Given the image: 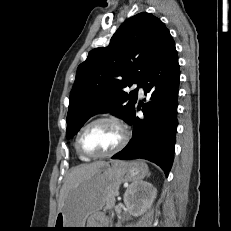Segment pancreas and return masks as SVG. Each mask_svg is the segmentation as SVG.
<instances>
[{"label": "pancreas", "mask_w": 231, "mask_h": 231, "mask_svg": "<svg viewBox=\"0 0 231 231\" xmlns=\"http://www.w3.org/2000/svg\"><path fill=\"white\" fill-rule=\"evenodd\" d=\"M117 193L116 192H111L107 198V201H106V207L107 208H112L115 204V195Z\"/></svg>", "instance_id": "cf45deb5"}]
</instances>
